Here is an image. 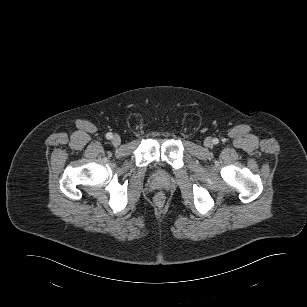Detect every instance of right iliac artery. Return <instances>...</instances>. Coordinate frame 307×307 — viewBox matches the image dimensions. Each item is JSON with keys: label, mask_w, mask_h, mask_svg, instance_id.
Wrapping results in <instances>:
<instances>
[{"label": "right iliac artery", "mask_w": 307, "mask_h": 307, "mask_svg": "<svg viewBox=\"0 0 307 307\" xmlns=\"http://www.w3.org/2000/svg\"><path fill=\"white\" fill-rule=\"evenodd\" d=\"M112 137H113L112 133H107V134H106V138H107V139H112Z\"/></svg>", "instance_id": "obj_1"}]
</instances>
